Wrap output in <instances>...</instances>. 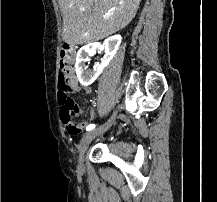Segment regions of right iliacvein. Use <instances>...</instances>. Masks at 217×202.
<instances>
[{
  "instance_id": "63e3f726",
  "label": "right iliac vein",
  "mask_w": 217,
  "mask_h": 202,
  "mask_svg": "<svg viewBox=\"0 0 217 202\" xmlns=\"http://www.w3.org/2000/svg\"><path fill=\"white\" fill-rule=\"evenodd\" d=\"M116 119V112L113 113L111 118L102 126H100L97 130L88 132L83 139L81 140L78 151H79V166L82 167L84 165V154L89 147L91 141L96 137L102 135L105 131H107L114 123Z\"/></svg>"
}]
</instances>
